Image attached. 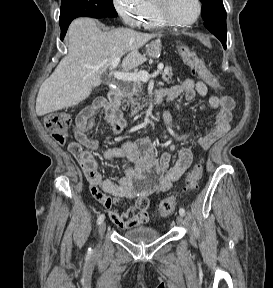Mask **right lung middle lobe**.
I'll list each match as a JSON object with an SVG mask.
<instances>
[{
  "label": "right lung middle lobe",
  "instance_id": "dd1d6c3e",
  "mask_svg": "<svg viewBox=\"0 0 273 288\" xmlns=\"http://www.w3.org/2000/svg\"><path fill=\"white\" fill-rule=\"evenodd\" d=\"M81 16L93 18L116 17L117 12L112 0H62L60 26Z\"/></svg>",
  "mask_w": 273,
  "mask_h": 288
}]
</instances>
